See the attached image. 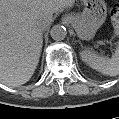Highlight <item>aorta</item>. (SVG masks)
<instances>
[{"label": "aorta", "mask_w": 119, "mask_h": 119, "mask_svg": "<svg viewBox=\"0 0 119 119\" xmlns=\"http://www.w3.org/2000/svg\"><path fill=\"white\" fill-rule=\"evenodd\" d=\"M50 34L53 40L61 41L66 38L67 31L64 26L57 24L52 27Z\"/></svg>", "instance_id": "aorta-1"}]
</instances>
